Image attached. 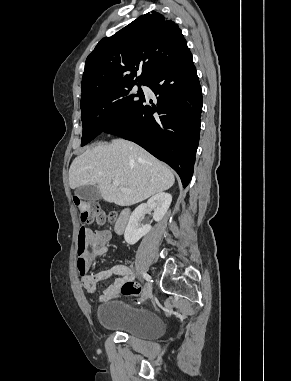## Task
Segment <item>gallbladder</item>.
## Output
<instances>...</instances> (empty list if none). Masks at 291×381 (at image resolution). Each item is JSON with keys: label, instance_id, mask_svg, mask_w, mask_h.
<instances>
[{"label": "gallbladder", "instance_id": "obj_1", "mask_svg": "<svg viewBox=\"0 0 291 381\" xmlns=\"http://www.w3.org/2000/svg\"><path fill=\"white\" fill-rule=\"evenodd\" d=\"M75 195L82 200L88 201H96L101 199L100 190L96 185L79 187L75 190Z\"/></svg>", "mask_w": 291, "mask_h": 381}]
</instances>
